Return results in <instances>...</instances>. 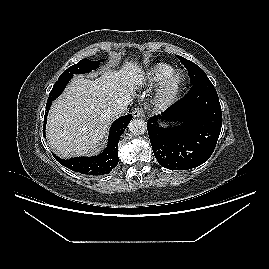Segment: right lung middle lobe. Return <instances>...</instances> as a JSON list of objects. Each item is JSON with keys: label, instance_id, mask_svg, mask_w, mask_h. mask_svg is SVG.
Masks as SVG:
<instances>
[{"label": "right lung middle lobe", "instance_id": "obj_1", "mask_svg": "<svg viewBox=\"0 0 269 269\" xmlns=\"http://www.w3.org/2000/svg\"><path fill=\"white\" fill-rule=\"evenodd\" d=\"M100 61H90L88 59H83L77 64L72 65L68 69L65 70V72L62 73V75L59 77L65 78V77H72L74 74H83L88 73L92 70H96L99 67Z\"/></svg>", "mask_w": 269, "mask_h": 269}]
</instances>
